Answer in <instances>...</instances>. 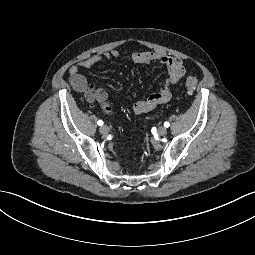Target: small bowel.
<instances>
[{
	"mask_svg": "<svg viewBox=\"0 0 255 255\" xmlns=\"http://www.w3.org/2000/svg\"><path fill=\"white\" fill-rule=\"evenodd\" d=\"M118 56L119 51L112 50L101 55H94L83 59L69 69V82L72 88L77 92H84L90 103H99L107 113L111 112L107 93L102 88H94L91 86L85 76L81 74V70L91 68L104 60L114 59ZM131 59L135 63H159L166 66L168 69V77L159 91L135 103L133 111L136 114H144L152 111L160 104L169 102L172 96V87L176 85L186 73L182 60L166 53L151 51L135 52L131 55Z\"/></svg>",
	"mask_w": 255,
	"mask_h": 255,
	"instance_id": "obj_1",
	"label": "small bowel"
}]
</instances>
